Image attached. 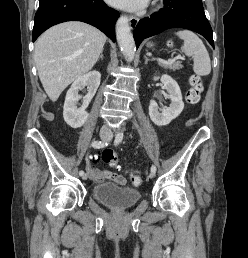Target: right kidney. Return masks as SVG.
<instances>
[{
  "label": "right kidney",
  "mask_w": 248,
  "mask_h": 258,
  "mask_svg": "<svg viewBox=\"0 0 248 258\" xmlns=\"http://www.w3.org/2000/svg\"><path fill=\"white\" fill-rule=\"evenodd\" d=\"M100 79L101 74L98 71H91L76 79L67 91L63 107V117L70 127L79 128L87 121L89 115L86 112V108L99 87ZM84 86H87L88 93L83 98L82 106L77 108V102L81 98L78 91Z\"/></svg>",
  "instance_id": "1"
}]
</instances>
